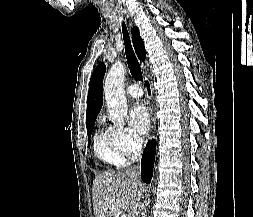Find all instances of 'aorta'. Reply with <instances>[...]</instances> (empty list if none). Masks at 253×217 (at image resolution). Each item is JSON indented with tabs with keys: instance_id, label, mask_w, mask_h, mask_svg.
I'll list each match as a JSON object with an SVG mask.
<instances>
[{
	"instance_id": "762f6f07",
	"label": "aorta",
	"mask_w": 253,
	"mask_h": 217,
	"mask_svg": "<svg viewBox=\"0 0 253 217\" xmlns=\"http://www.w3.org/2000/svg\"><path fill=\"white\" fill-rule=\"evenodd\" d=\"M125 67L114 64L105 78L104 95L110 120L119 126L124 125L128 105L124 91Z\"/></svg>"
}]
</instances>
